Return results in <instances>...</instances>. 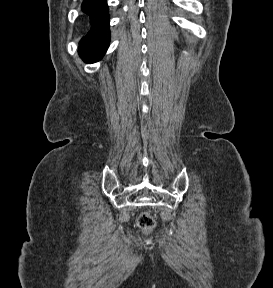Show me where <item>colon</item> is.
<instances>
[{
  "label": "colon",
  "mask_w": 273,
  "mask_h": 288,
  "mask_svg": "<svg viewBox=\"0 0 273 288\" xmlns=\"http://www.w3.org/2000/svg\"><path fill=\"white\" fill-rule=\"evenodd\" d=\"M138 224L144 232H149L155 226V218L150 213L143 212L138 218Z\"/></svg>",
  "instance_id": "obj_1"
}]
</instances>
